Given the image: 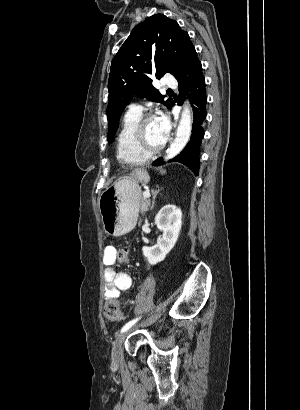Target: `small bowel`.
I'll return each instance as SVG.
<instances>
[{
	"label": "small bowel",
	"mask_w": 300,
	"mask_h": 410,
	"mask_svg": "<svg viewBox=\"0 0 300 410\" xmlns=\"http://www.w3.org/2000/svg\"><path fill=\"white\" fill-rule=\"evenodd\" d=\"M115 246L108 245L105 247L102 261L104 265V295L110 300L117 298L119 293L127 291L132 287V278L125 272L118 271L115 267Z\"/></svg>",
	"instance_id": "obj_1"
}]
</instances>
